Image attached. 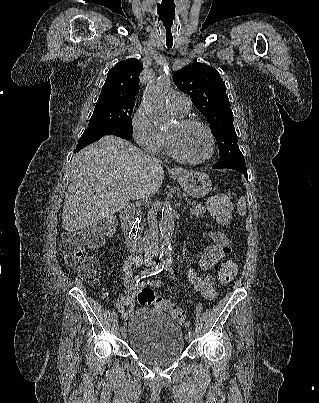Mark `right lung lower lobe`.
<instances>
[{"label": "right lung lower lobe", "mask_w": 319, "mask_h": 403, "mask_svg": "<svg viewBox=\"0 0 319 403\" xmlns=\"http://www.w3.org/2000/svg\"><path fill=\"white\" fill-rule=\"evenodd\" d=\"M105 135H115L126 140L132 139V133L120 127H113V126L89 127L84 131V133L80 137V141L76 146L75 153L80 151L87 145L99 140L101 137Z\"/></svg>", "instance_id": "1"}]
</instances>
